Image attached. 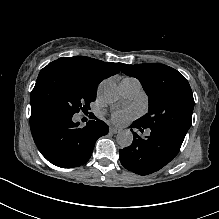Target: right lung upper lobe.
Segmentation results:
<instances>
[{"instance_id": "obj_1", "label": "right lung upper lobe", "mask_w": 219, "mask_h": 219, "mask_svg": "<svg viewBox=\"0 0 219 219\" xmlns=\"http://www.w3.org/2000/svg\"><path fill=\"white\" fill-rule=\"evenodd\" d=\"M48 65H61L81 74L89 83L99 84L102 80L115 75L124 68L123 63L103 62L85 56L62 57Z\"/></svg>"}]
</instances>
